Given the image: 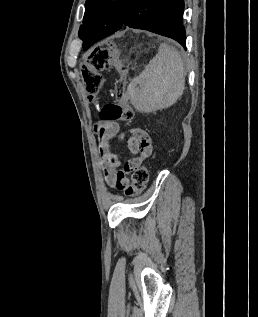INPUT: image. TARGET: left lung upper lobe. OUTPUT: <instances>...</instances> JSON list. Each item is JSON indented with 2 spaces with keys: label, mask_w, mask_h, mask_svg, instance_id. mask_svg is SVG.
<instances>
[{
  "label": "left lung upper lobe",
  "mask_w": 258,
  "mask_h": 317,
  "mask_svg": "<svg viewBox=\"0 0 258 317\" xmlns=\"http://www.w3.org/2000/svg\"><path fill=\"white\" fill-rule=\"evenodd\" d=\"M132 0H86L83 25L79 37L84 38L90 31L107 26L119 28L127 15L128 5Z\"/></svg>",
  "instance_id": "left-lung-upper-lobe-1"
}]
</instances>
